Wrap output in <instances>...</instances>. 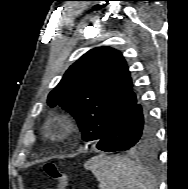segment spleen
<instances>
[{
  "mask_svg": "<svg viewBox=\"0 0 188 189\" xmlns=\"http://www.w3.org/2000/svg\"><path fill=\"white\" fill-rule=\"evenodd\" d=\"M84 167L95 175L100 189H155L153 177L128 158L100 154L89 159Z\"/></svg>",
  "mask_w": 188,
  "mask_h": 189,
  "instance_id": "spleen-1",
  "label": "spleen"
}]
</instances>
